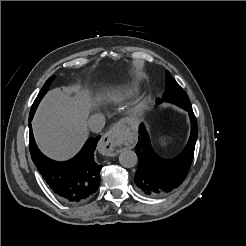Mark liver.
<instances>
[{
    "label": "liver",
    "instance_id": "liver-1",
    "mask_svg": "<svg viewBox=\"0 0 246 246\" xmlns=\"http://www.w3.org/2000/svg\"><path fill=\"white\" fill-rule=\"evenodd\" d=\"M93 105L88 93L77 87L50 90L32 122L42 152L56 160L73 157L88 136L87 118Z\"/></svg>",
    "mask_w": 246,
    "mask_h": 246
}]
</instances>
